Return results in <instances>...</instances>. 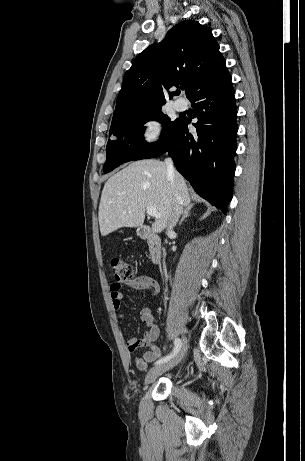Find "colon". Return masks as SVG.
Returning a JSON list of instances; mask_svg holds the SVG:
<instances>
[{"mask_svg":"<svg viewBox=\"0 0 305 461\" xmlns=\"http://www.w3.org/2000/svg\"><path fill=\"white\" fill-rule=\"evenodd\" d=\"M110 267L117 281H128L136 275V268L121 257H113L110 261Z\"/></svg>","mask_w":305,"mask_h":461,"instance_id":"obj_1","label":"colon"}]
</instances>
